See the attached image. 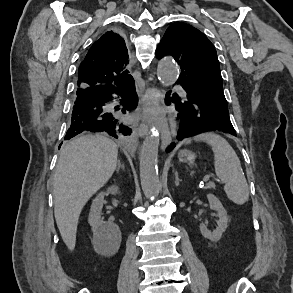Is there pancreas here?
<instances>
[{"label": "pancreas", "instance_id": "obj_1", "mask_svg": "<svg viewBox=\"0 0 293 293\" xmlns=\"http://www.w3.org/2000/svg\"><path fill=\"white\" fill-rule=\"evenodd\" d=\"M214 188H215V184L213 182H209L205 187V189H214Z\"/></svg>", "mask_w": 293, "mask_h": 293}]
</instances>
